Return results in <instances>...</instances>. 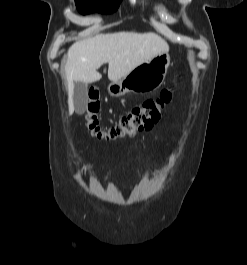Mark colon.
I'll use <instances>...</instances> for the list:
<instances>
[{"label":"colon","instance_id":"1","mask_svg":"<svg viewBox=\"0 0 247 265\" xmlns=\"http://www.w3.org/2000/svg\"><path fill=\"white\" fill-rule=\"evenodd\" d=\"M172 99V92L163 89L156 97L149 98L143 103L133 106L115 125L103 128L99 121L100 96L97 90L88 93L85 123L91 134L99 139L118 140L131 137L139 132L150 129L158 122L165 107Z\"/></svg>","mask_w":247,"mask_h":265}]
</instances>
